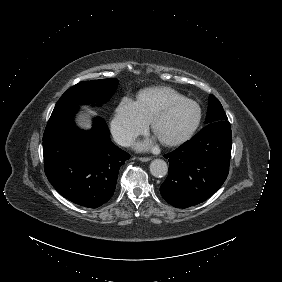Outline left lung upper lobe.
<instances>
[{"mask_svg": "<svg viewBox=\"0 0 282 282\" xmlns=\"http://www.w3.org/2000/svg\"><path fill=\"white\" fill-rule=\"evenodd\" d=\"M220 120H227V116L219 100L215 96L210 95L206 123L208 124Z\"/></svg>", "mask_w": 282, "mask_h": 282, "instance_id": "left-lung-upper-lobe-1", "label": "left lung upper lobe"}]
</instances>
